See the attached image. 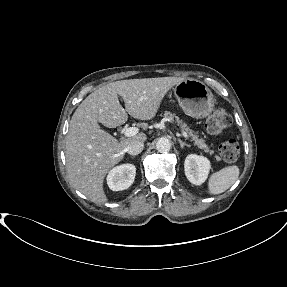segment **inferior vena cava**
I'll use <instances>...</instances> for the list:
<instances>
[{"instance_id": "obj_1", "label": "inferior vena cava", "mask_w": 287, "mask_h": 287, "mask_svg": "<svg viewBox=\"0 0 287 287\" xmlns=\"http://www.w3.org/2000/svg\"><path fill=\"white\" fill-rule=\"evenodd\" d=\"M144 149V143L140 140H133L126 148L130 155H138Z\"/></svg>"}]
</instances>
